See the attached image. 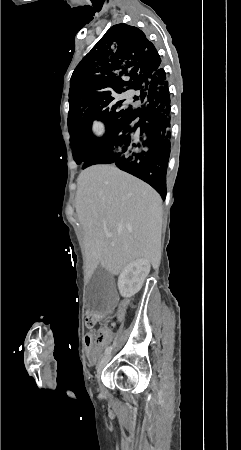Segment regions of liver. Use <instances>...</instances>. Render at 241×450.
Returning <instances> with one entry per match:
<instances>
[{"instance_id":"1","label":"liver","mask_w":241,"mask_h":450,"mask_svg":"<svg viewBox=\"0 0 241 450\" xmlns=\"http://www.w3.org/2000/svg\"><path fill=\"white\" fill-rule=\"evenodd\" d=\"M76 212L83 226L89 276L99 264L110 274L137 260L157 270L161 260V196L116 166H90L77 178ZM113 234L107 238L106 234Z\"/></svg>"}]
</instances>
